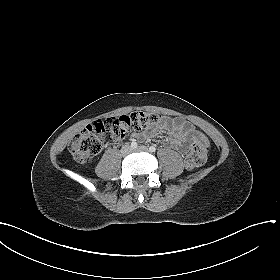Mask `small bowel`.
I'll use <instances>...</instances> for the list:
<instances>
[{
    "instance_id": "obj_1",
    "label": "small bowel",
    "mask_w": 280,
    "mask_h": 280,
    "mask_svg": "<svg viewBox=\"0 0 280 280\" xmlns=\"http://www.w3.org/2000/svg\"><path fill=\"white\" fill-rule=\"evenodd\" d=\"M171 125L173 135L175 137L174 144L178 146L183 152L188 148V145L197 141L207 142L206 137L199 131H197L190 123L181 118H175L170 123L167 119L161 124L162 128H167ZM135 139H143L144 135L135 132L132 135Z\"/></svg>"
}]
</instances>
